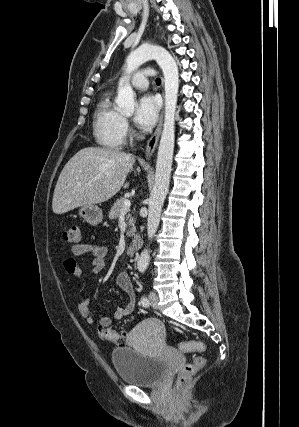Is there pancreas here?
I'll return each mask as SVG.
<instances>
[{
    "label": "pancreas",
    "mask_w": 299,
    "mask_h": 427,
    "mask_svg": "<svg viewBox=\"0 0 299 427\" xmlns=\"http://www.w3.org/2000/svg\"><path fill=\"white\" fill-rule=\"evenodd\" d=\"M125 199L120 198L118 199L114 205L112 206L111 210L109 211V218L110 219H116L121 214V209L123 207ZM125 217L127 221V226L129 227V230L127 231V237H131L135 234L136 228L134 224V219L128 212H125Z\"/></svg>",
    "instance_id": "pancreas-1"
}]
</instances>
